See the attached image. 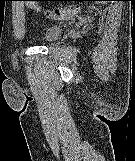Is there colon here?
<instances>
[{
    "instance_id": "obj_1",
    "label": "colon",
    "mask_w": 135,
    "mask_h": 161,
    "mask_svg": "<svg viewBox=\"0 0 135 161\" xmlns=\"http://www.w3.org/2000/svg\"><path fill=\"white\" fill-rule=\"evenodd\" d=\"M26 1L27 6L35 11H40L39 7L37 6L35 0H22ZM80 11L79 6H71V7H64V8H54L52 10L44 11L43 13L52 19L55 20H69L75 17Z\"/></svg>"
}]
</instances>
